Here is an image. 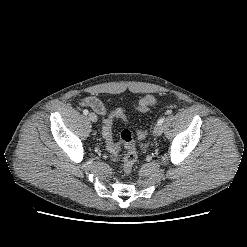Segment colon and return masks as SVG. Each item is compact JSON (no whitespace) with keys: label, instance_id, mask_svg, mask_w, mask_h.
<instances>
[{"label":"colon","instance_id":"colon-1","mask_svg":"<svg viewBox=\"0 0 247 247\" xmlns=\"http://www.w3.org/2000/svg\"><path fill=\"white\" fill-rule=\"evenodd\" d=\"M156 103V99L153 95L143 96L137 105V110L139 112H147ZM125 120V114L121 109H116L112 111L109 116L104 120L102 127V136L105 140L107 150L115 155L120 150V145L114 143L112 140V123L113 119ZM147 133L145 131L138 132V138L144 139ZM120 144L126 149V154L123 158V169L125 175H129L133 169V166L137 160V148L135 145L134 135L130 129H124L120 135Z\"/></svg>","mask_w":247,"mask_h":247}]
</instances>
